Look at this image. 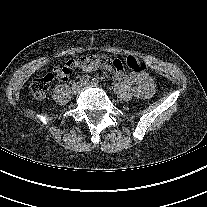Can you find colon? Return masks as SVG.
<instances>
[{"instance_id": "5ec220e1", "label": "colon", "mask_w": 207, "mask_h": 207, "mask_svg": "<svg viewBox=\"0 0 207 207\" xmlns=\"http://www.w3.org/2000/svg\"><path fill=\"white\" fill-rule=\"evenodd\" d=\"M87 63H99L101 66H107L111 63V59L106 56L99 55H86L77 58L69 59L65 65L59 67L61 72H70L71 69L80 68ZM127 68L135 74H140L146 71V64L139 58L128 56L126 58ZM55 75L53 73H45L33 78L30 83V92L32 96L37 100H42L46 97L49 89L53 83Z\"/></svg>"}]
</instances>
